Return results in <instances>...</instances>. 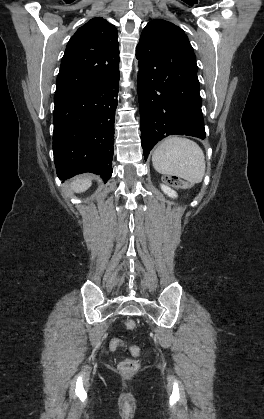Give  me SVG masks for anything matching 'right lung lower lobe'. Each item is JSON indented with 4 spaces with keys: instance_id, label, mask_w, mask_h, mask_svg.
<instances>
[{
    "instance_id": "obj_1",
    "label": "right lung lower lobe",
    "mask_w": 264,
    "mask_h": 419,
    "mask_svg": "<svg viewBox=\"0 0 264 419\" xmlns=\"http://www.w3.org/2000/svg\"><path fill=\"white\" fill-rule=\"evenodd\" d=\"M119 76L55 94L53 151L59 179L84 172L110 179Z\"/></svg>"
}]
</instances>
